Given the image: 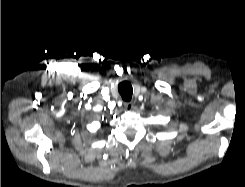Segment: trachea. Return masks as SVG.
I'll return each mask as SVG.
<instances>
[{"label": "trachea", "instance_id": "obj_1", "mask_svg": "<svg viewBox=\"0 0 245 187\" xmlns=\"http://www.w3.org/2000/svg\"><path fill=\"white\" fill-rule=\"evenodd\" d=\"M118 91L122 97L123 100L125 101H130L132 98L133 94V88L130 82L128 81H123L118 85Z\"/></svg>", "mask_w": 245, "mask_h": 187}]
</instances>
